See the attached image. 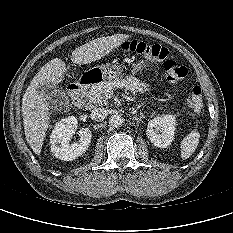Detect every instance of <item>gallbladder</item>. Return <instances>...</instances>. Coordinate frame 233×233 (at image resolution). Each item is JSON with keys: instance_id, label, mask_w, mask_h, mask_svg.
Segmentation results:
<instances>
[{"instance_id": "obj_1", "label": "gallbladder", "mask_w": 233, "mask_h": 233, "mask_svg": "<svg viewBox=\"0 0 233 233\" xmlns=\"http://www.w3.org/2000/svg\"><path fill=\"white\" fill-rule=\"evenodd\" d=\"M50 109L61 111L69 105V100L60 88L52 83H42L37 88Z\"/></svg>"}]
</instances>
